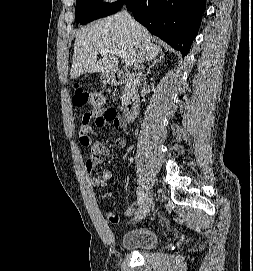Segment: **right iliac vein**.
Segmentation results:
<instances>
[{
	"label": "right iliac vein",
	"mask_w": 253,
	"mask_h": 271,
	"mask_svg": "<svg viewBox=\"0 0 253 271\" xmlns=\"http://www.w3.org/2000/svg\"><path fill=\"white\" fill-rule=\"evenodd\" d=\"M151 205H152V194L150 190H147L144 195V200L137 211L136 220L138 221L142 220L150 212Z\"/></svg>",
	"instance_id": "1"
}]
</instances>
